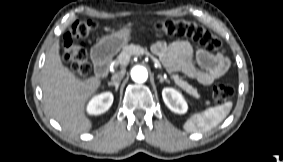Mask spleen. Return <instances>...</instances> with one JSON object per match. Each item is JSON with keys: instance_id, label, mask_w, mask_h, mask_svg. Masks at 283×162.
<instances>
[{"instance_id": "obj_1", "label": "spleen", "mask_w": 283, "mask_h": 162, "mask_svg": "<svg viewBox=\"0 0 283 162\" xmlns=\"http://www.w3.org/2000/svg\"><path fill=\"white\" fill-rule=\"evenodd\" d=\"M232 109V102L211 107L202 113H196L186 120L183 128L187 132H206L221 123Z\"/></svg>"}]
</instances>
